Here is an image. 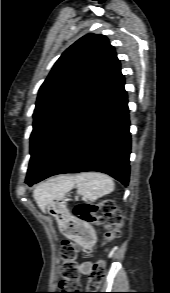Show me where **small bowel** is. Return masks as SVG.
<instances>
[{
    "instance_id": "1",
    "label": "small bowel",
    "mask_w": 170,
    "mask_h": 293,
    "mask_svg": "<svg viewBox=\"0 0 170 293\" xmlns=\"http://www.w3.org/2000/svg\"><path fill=\"white\" fill-rule=\"evenodd\" d=\"M93 264L90 262H84L80 265V271L84 274H88L91 272Z\"/></svg>"
}]
</instances>
